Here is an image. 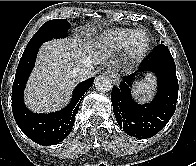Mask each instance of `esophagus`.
Masks as SVG:
<instances>
[{
    "label": "esophagus",
    "instance_id": "1",
    "mask_svg": "<svg viewBox=\"0 0 196 166\" xmlns=\"http://www.w3.org/2000/svg\"><path fill=\"white\" fill-rule=\"evenodd\" d=\"M106 73L113 78L114 83L119 84V76L112 70L111 67L106 69Z\"/></svg>",
    "mask_w": 196,
    "mask_h": 166
}]
</instances>
